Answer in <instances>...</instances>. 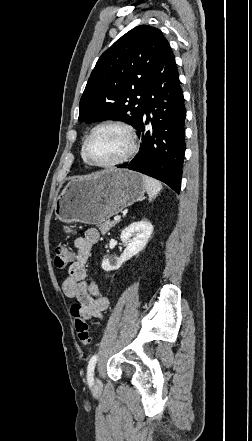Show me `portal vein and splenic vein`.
Here are the masks:
<instances>
[{
  "instance_id": "portal-vein-and-splenic-vein-1",
  "label": "portal vein and splenic vein",
  "mask_w": 252,
  "mask_h": 441,
  "mask_svg": "<svg viewBox=\"0 0 252 441\" xmlns=\"http://www.w3.org/2000/svg\"><path fill=\"white\" fill-rule=\"evenodd\" d=\"M120 219H121L120 216H115V217H114V221H119Z\"/></svg>"
}]
</instances>
